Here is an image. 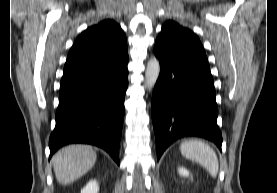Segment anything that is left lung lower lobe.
Instances as JSON below:
<instances>
[{
  "mask_svg": "<svg viewBox=\"0 0 277 193\" xmlns=\"http://www.w3.org/2000/svg\"><path fill=\"white\" fill-rule=\"evenodd\" d=\"M154 53L160 61L151 103L157 160L171 143L185 136L206 138L221 150L215 88L207 59L179 54L160 40L155 42Z\"/></svg>",
  "mask_w": 277,
  "mask_h": 193,
  "instance_id": "1",
  "label": "left lung lower lobe"
}]
</instances>
